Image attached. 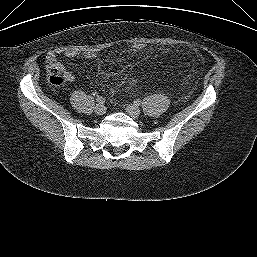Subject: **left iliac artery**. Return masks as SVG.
<instances>
[{
  "mask_svg": "<svg viewBox=\"0 0 257 257\" xmlns=\"http://www.w3.org/2000/svg\"><path fill=\"white\" fill-rule=\"evenodd\" d=\"M134 105L140 106L141 105V101L139 99L134 100Z\"/></svg>",
  "mask_w": 257,
  "mask_h": 257,
  "instance_id": "1",
  "label": "left iliac artery"
}]
</instances>
